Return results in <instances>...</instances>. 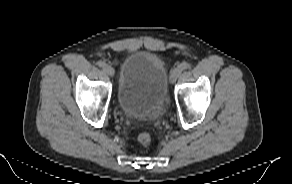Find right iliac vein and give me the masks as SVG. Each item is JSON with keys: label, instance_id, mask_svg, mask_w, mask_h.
<instances>
[{"label": "right iliac vein", "instance_id": "1", "mask_svg": "<svg viewBox=\"0 0 292 184\" xmlns=\"http://www.w3.org/2000/svg\"><path fill=\"white\" fill-rule=\"evenodd\" d=\"M103 70L109 76H114L115 74L114 68L110 65H105Z\"/></svg>", "mask_w": 292, "mask_h": 184}]
</instances>
